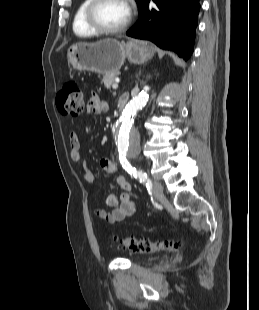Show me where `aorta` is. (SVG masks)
<instances>
[{
	"label": "aorta",
	"instance_id": "obj_1",
	"mask_svg": "<svg viewBox=\"0 0 259 310\" xmlns=\"http://www.w3.org/2000/svg\"><path fill=\"white\" fill-rule=\"evenodd\" d=\"M146 91L135 96L122 111L117 122L116 144L120 155L134 158L140 153V134L134 126V117L147 103Z\"/></svg>",
	"mask_w": 259,
	"mask_h": 310
}]
</instances>
